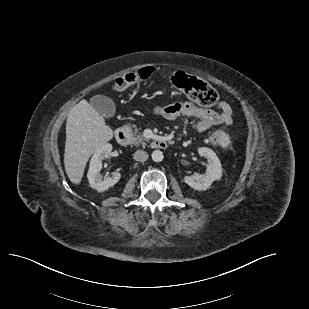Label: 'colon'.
<instances>
[{"instance_id": "1", "label": "colon", "mask_w": 309, "mask_h": 309, "mask_svg": "<svg viewBox=\"0 0 309 309\" xmlns=\"http://www.w3.org/2000/svg\"><path fill=\"white\" fill-rule=\"evenodd\" d=\"M153 73L154 68L145 67L136 72L122 75L116 79L114 88L117 91H123L135 83L149 79ZM171 83L176 89L181 90L202 106H214L218 102L219 95L217 91L208 83L194 76L177 72L171 77ZM217 140V136L210 138L211 142H216Z\"/></svg>"}]
</instances>
